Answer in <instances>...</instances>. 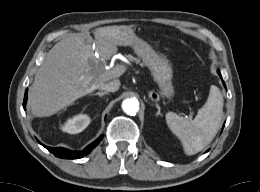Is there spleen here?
<instances>
[{"mask_svg":"<svg viewBox=\"0 0 260 192\" xmlns=\"http://www.w3.org/2000/svg\"><path fill=\"white\" fill-rule=\"evenodd\" d=\"M223 104L219 88L212 85L207 101L194 120L188 121L173 112L166 113V123L180 139L185 154L194 155L212 142L222 124Z\"/></svg>","mask_w":260,"mask_h":192,"instance_id":"spleen-1","label":"spleen"}]
</instances>
